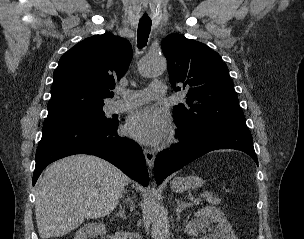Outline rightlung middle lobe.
Instances as JSON below:
<instances>
[{"mask_svg":"<svg viewBox=\"0 0 304 239\" xmlns=\"http://www.w3.org/2000/svg\"><path fill=\"white\" fill-rule=\"evenodd\" d=\"M113 119H107L103 111V107L85 110L82 112L47 118L43 123V128L59 125H72V124H89L99 125L108 124Z\"/></svg>","mask_w":304,"mask_h":239,"instance_id":"1","label":"right lung middle lobe"}]
</instances>
